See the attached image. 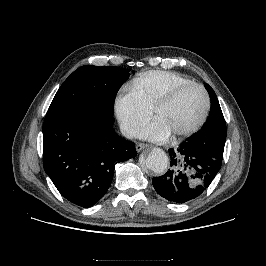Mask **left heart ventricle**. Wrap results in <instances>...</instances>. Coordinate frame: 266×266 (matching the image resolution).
<instances>
[{
	"mask_svg": "<svg viewBox=\"0 0 266 266\" xmlns=\"http://www.w3.org/2000/svg\"><path fill=\"white\" fill-rule=\"evenodd\" d=\"M204 106L202 92L197 88H190L161 109L155 119L161 121L171 133H176L195 124L201 117Z\"/></svg>",
	"mask_w": 266,
	"mask_h": 266,
	"instance_id": "obj_1",
	"label": "left heart ventricle"
}]
</instances>
